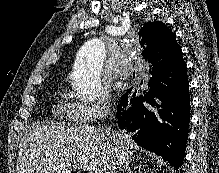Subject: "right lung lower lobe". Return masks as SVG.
I'll return each instance as SVG.
<instances>
[{"instance_id":"right-lung-lower-lobe-1","label":"right lung lower lobe","mask_w":219,"mask_h":173,"mask_svg":"<svg viewBox=\"0 0 219 173\" xmlns=\"http://www.w3.org/2000/svg\"><path fill=\"white\" fill-rule=\"evenodd\" d=\"M147 61L152 64L148 89L132 87L126 92L117 107L118 126L177 170L183 163L190 122L186 63L182 56L159 54Z\"/></svg>"}]
</instances>
